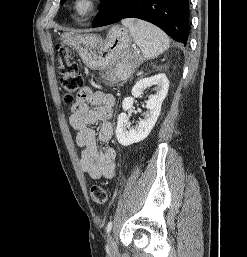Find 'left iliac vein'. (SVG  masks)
Returning <instances> with one entry per match:
<instances>
[{
    "label": "left iliac vein",
    "instance_id": "1",
    "mask_svg": "<svg viewBox=\"0 0 247 257\" xmlns=\"http://www.w3.org/2000/svg\"><path fill=\"white\" fill-rule=\"evenodd\" d=\"M107 246H108V250H109L110 254H112V255L117 254V251H118L117 244L112 235H109L107 238Z\"/></svg>",
    "mask_w": 247,
    "mask_h": 257
}]
</instances>
